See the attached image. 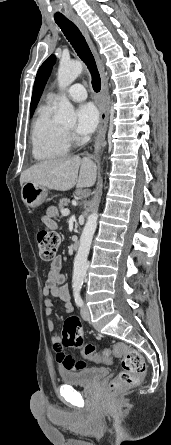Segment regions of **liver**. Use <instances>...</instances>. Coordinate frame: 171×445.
Here are the masks:
<instances>
[{
    "instance_id": "1",
    "label": "liver",
    "mask_w": 171,
    "mask_h": 445,
    "mask_svg": "<svg viewBox=\"0 0 171 445\" xmlns=\"http://www.w3.org/2000/svg\"><path fill=\"white\" fill-rule=\"evenodd\" d=\"M97 167L87 157H63L47 160L25 170L20 177V184L32 182L47 188L67 191L76 186L88 188L95 184Z\"/></svg>"
}]
</instances>
